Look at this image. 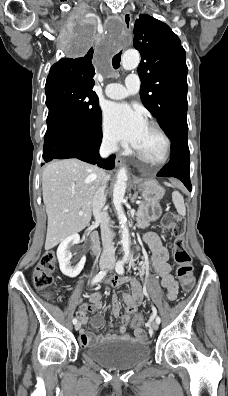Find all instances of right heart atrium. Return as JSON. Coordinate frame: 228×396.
I'll return each mask as SVG.
<instances>
[{"label": "right heart atrium", "instance_id": "right-heart-atrium-1", "mask_svg": "<svg viewBox=\"0 0 228 396\" xmlns=\"http://www.w3.org/2000/svg\"><path fill=\"white\" fill-rule=\"evenodd\" d=\"M102 141L103 145L110 150H114L116 148V143L110 136V134L106 131V129H103L102 131Z\"/></svg>", "mask_w": 228, "mask_h": 396}]
</instances>
